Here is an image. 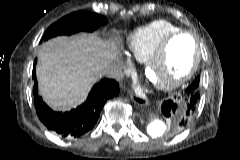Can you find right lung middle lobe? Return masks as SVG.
I'll use <instances>...</instances> for the list:
<instances>
[{"label":"right lung middle lobe","instance_id":"1","mask_svg":"<svg viewBox=\"0 0 240 160\" xmlns=\"http://www.w3.org/2000/svg\"><path fill=\"white\" fill-rule=\"evenodd\" d=\"M105 22L106 19L103 16L90 12L72 13L52 24L46 30L43 40H48L57 35H71L79 31L92 32Z\"/></svg>","mask_w":240,"mask_h":160}]
</instances>
